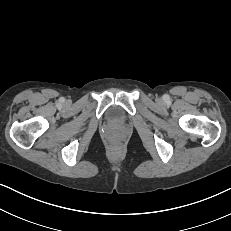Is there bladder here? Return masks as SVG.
Wrapping results in <instances>:
<instances>
[{
  "label": "bladder",
  "instance_id": "bladder-1",
  "mask_svg": "<svg viewBox=\"0 0 231 231\" xmlns=\"http://www.w3.org/2000/svg\"><path fill=\"white\" fill-rule=\"evenodd\" d=\"M123 116L122 110L117 106H112L109 108L107 117L111 122H118Z\"/></svg>",
  "mask_w": 231,
  "mask_h": 231
}]
</instances>
